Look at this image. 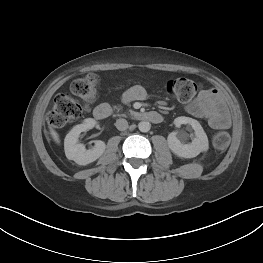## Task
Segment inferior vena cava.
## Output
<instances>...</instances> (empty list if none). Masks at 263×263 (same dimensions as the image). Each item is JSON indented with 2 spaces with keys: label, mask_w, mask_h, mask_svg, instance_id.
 <instances>
[{
  "label": "inferior vena cava",
  "mask_w": 263,
  "mask_h": 263,
  "mask_svg": "<svg viewBox=\"0 0 263 263\" xmlns=\"http://www.w3.org/2000/svg\"><path fill=\"white\" fill-rule=\"evenodd\" d=\"M115 126L119 131H124L128 128V122L126 119L121 118L116 120Z\"/></svg>",
  "instance_id": "inferior-vena-cava-1"
}]
</instances>
